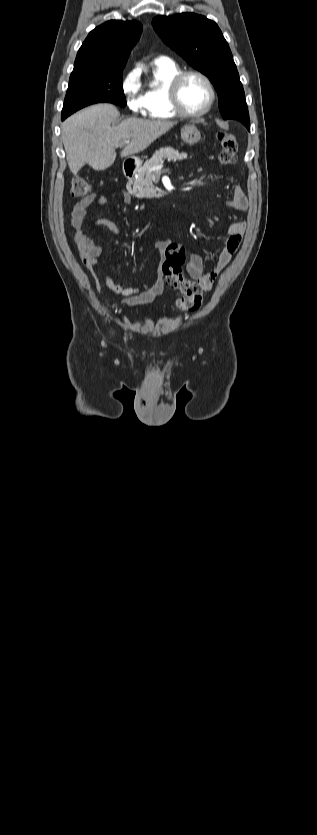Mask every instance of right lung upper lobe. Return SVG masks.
Instances as JSON below:
<instances>
[{
    "label": "right lung upper lobe",
    "instance_id": "1",
    "mask_svg": "<svg viewBox=\"0 0 317 835\" xmlns=\"http://www.w3.org/2000/svg\"><path fill=\"white\" fill-rule=\"evenodd\" d=\"M141 31L142 25L137 21L110 20L96 27L80 47L74 70H123Z\"/></svg>",
    "mask_w": 317,
    "mask_h": 835
}]
</instances>
